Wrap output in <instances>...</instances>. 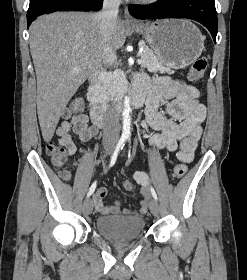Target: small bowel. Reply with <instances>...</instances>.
<instances>
[{
    "label": "small bowel",
    "mask_w": 247,
    "mask_h": 280,
    "mask_svg": "<svg viewBox=\"0 0 247 280\" xmlns=\"http://www.w3.org/2000/svg\"><path fill=\"white\" fill-rule=\"evenodd\" d=\"M136 87L142 88L147 93L145 119L141 124L144 137L146 131L152 129L158 131L149 138L152 146L168 151H177V158L190 163L194 157V151L202 135V123L206 116V108L198 101L197 88L183 82L172 80L169 77H156L150 80L146 75L140 74L136 79ZM168 101L167 114L159 111V105ZM56 135L69 155L77 151L76 140L87 141L97 136L98 131L89 125L86 115H74L65 119L56 128ZM62 177L70 179V173L65 172ZM134 181L141 187V194L145 198L137 212L129 209L121 210L120 202L107 206L103 199L107 195L104 187H99L92 199L95 210L102 215L145 213L147 211L148 176L142 172L133 174Z\"/></svg>",
    "instance_id": "obj_1"
}]
</instances>
